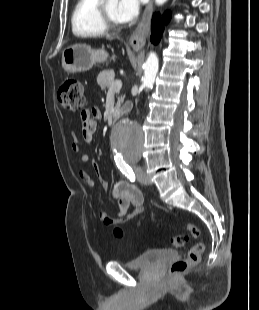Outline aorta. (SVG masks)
I'll return each mask as SVG.
<instances>
[{
	"instance_id": "aorta-1",
	"label": "aorta",
	"mask_w": 259,
	"mask_h": 310,
	"mask_svg": "<svg viewBox=\"0 0 259 310\" xmlns=\"http://www.w3.org/2000/svg\"><path fill=\"white\" fill-rule=\"evenodd\" d=\"M166 1L155 0L157 5H163ZM158 67L157 55L151 52L145 62L143 85L146 89H152ZM143 143L144 133L138 124L130 120H123L117 125L112 140L113 150L116 155L122 156L124 159H138L142 152Z\"/></svg>"
}]
</instances>
